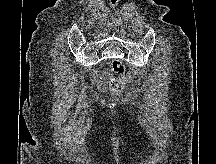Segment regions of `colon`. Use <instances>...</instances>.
I'll return each mask as SVG.
<instances>
[{
    "label": "colon",
    "mask_w": 216,
    "mask_h": 164,
    "mask_svg": "<svg viewBox=\"0 0 216 164\" xmlns=\"http://www.w3.org/2000/svg\"><path fill=\"white\" fill-rule=\"evenodd\" d=\"M112 68L116 77L110 80V88L115 93H121L131 82V77L120 60H113Z\"/></svg>",
    "instance_id": "1"
}]
</instances>
